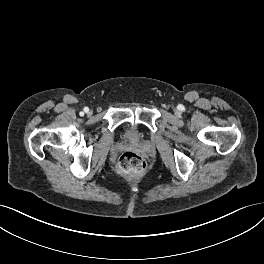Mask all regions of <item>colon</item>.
<instances>
[{
    "mask_svg": "<svg viewBox=\"0 0 264 264\" xmlns=\"http://www.w3.org/2000/svg\"><path fill=\"white\" fill-rule=\"evenodd\" d=\"M145 169L144 159L137 153L127 151L124 152L117 160V172L128 178L139 176Z\"/></svg>",
    "mask_w": 264,
    "mask_h": 264,
    "instance_id": "colon-1",
    "label": "colon"
}]
</instances>
